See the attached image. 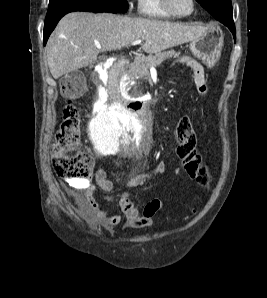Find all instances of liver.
I'll list each match as a JSON object with an SVG mask.
<instances>
[{"mask_svg": "<svg viewBox=\"0 0 267 298\" xmlns=\"http://www.w3.org/2000/svg\"><path fill=\"white\" fill-rule=\"evenodd\" d=\"M206 31L202 26L156 19L72 12L60 20L47 42L48 66L58 79L95 63L100 52L120 50L135 40H145L146 53H157L198 39Z\"/></svg>", "mask_w": 267, "mask_h": 298, "instance_id": "liver-1", "label": "liver"}]
</instances>
